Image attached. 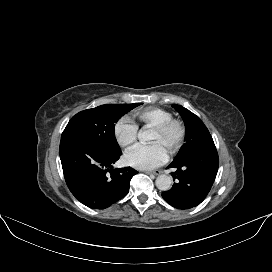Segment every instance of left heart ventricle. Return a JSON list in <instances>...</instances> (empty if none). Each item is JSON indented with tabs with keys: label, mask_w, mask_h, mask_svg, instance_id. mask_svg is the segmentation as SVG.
Segmentation results:
<instances>
[{
	"label": "left heart ventricle",
	"mask_w": 272,
	"mask_h": 272,
	"mask_svg": "<svg viewBox=\"0 0 272 272\" xmlns=\"http://www.w3.org/2000/svg\"><path fill=\"white\" fill-rule=\"evenodd\" d=\"M174 136H175V130H171L167 135H161L158 132L153 130L150 141L159 142L166 148L168 141L173 139Z\"/></svg>",
	"instance_id": "left-heart-ventricle-1"
}]
</instances>
